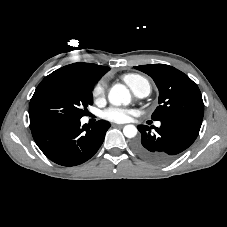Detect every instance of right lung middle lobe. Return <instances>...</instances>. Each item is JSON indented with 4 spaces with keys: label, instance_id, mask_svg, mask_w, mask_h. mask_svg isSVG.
<instances>
[{
    "label": "right lung middle lobe",
    "instance_id": "right-lung-middle-lobe-1",
    "mask_svg": "<svg viewBox=\"0 0 227 227\" xmlns=\"http://www.w3.org/2000/svg\"><path fill=\"white\" fill-rule=\"evenodd\" d=\"M94 84L53 72L38 85L29 105L30 128L79 120L92 105Z\"/></svg>",
    "mask_w": 227,
    "mask_h": 227
}]
</instances>
